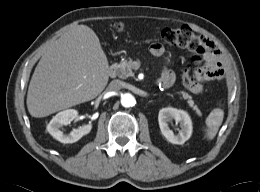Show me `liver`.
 Wrapping results in <instances>:
<instances>
[{
  "label": "liver",
  "instance_id": "obj_1",
  "mask_svg": "<svg viewBox=\"0 0 260 192\" xmlns=\"http://www.w3.org/2000/svg\"><path fill=\"white\" fill-rule=\"evenodd\" d=\"M108 60L95 32L77 26L54 41L32 75L27 108L41 118L90 101L108 83Z\"/></svg>",
  "mask_w": 260,
  "mask_h": 192
}]
</instances>
